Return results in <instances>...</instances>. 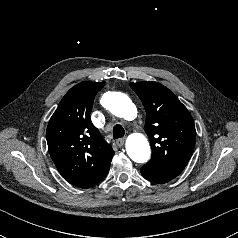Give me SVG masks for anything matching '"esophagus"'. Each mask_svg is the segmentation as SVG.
<instances>
[{
  "mask_svg": "<svg viewBox=\"0 0 238 238\" xmlns=\"http://www.w3.org/2000/svg\"><path fill=\"white\" fill-rule=\"evenodd\" d=\"M124 143H125V139L124 138H119V139L116 140V145L118 147H122L124 145Z\"/></svg>",
  "mask_w": 238,
  "mask_h": 238,
  "instance_id": "obj_1",
  "label": "esophagus"
}]
</instances>
